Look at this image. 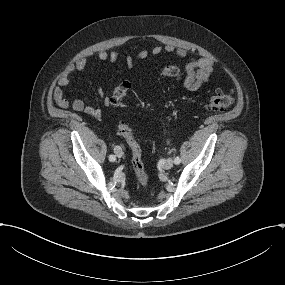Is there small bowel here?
<instances>
[{"label": "small bowel", "mask_w": 285, "mask_h": 285, "mask_svg": "<svg viewBox=\"0 0 285 285\" xmlns=\"http://www.w3.org/2000/svg\"><path fill=\"white\" fill-rule=\"evenodd\" d=\"M161 53L174 54L177 58H187L185 65L186 76L183 85L188 90H196L204 83L208 82L214 71V62L206 57L197 58L193 53L185 48H175L173 45L154 46L151 50H141L135 56H125V63L132 67L137 61L144 60L149 56H157ZM98 59L101 62L115 63L119 59V53L115 49L100 50ZM87 58L82 56L69 62L57 79V84L53 88L52 96L55 104L61 108H72L76 112H83L91 117L100 118L103 114L101 107L86 105L82 100H68L63 93V88L70 83V75L73 72H79L85 69ZM98 95L102 99L104 108L112 105L111 97L105 96L102 87L98 89Z\"/></svg>", "instance_id": "obj_1"}]
</instances>
